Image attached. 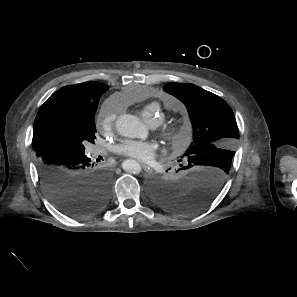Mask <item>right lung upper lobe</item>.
Segmentation results:
<instances>
[{
	"instance_id": "cb5924a9",
	"label": "right lung upper lobe",
	"mask_w": 297,
	"mask_h": 297,
	"mask_svg": "<svg viewBox=\"0 0 297 297\" xmlns=\"http://www.w3.org/2000/svg\"><path fill=\"white\" fill-rule=\"evenodd\" d=\"M109 87L99 82H84L65 86L54 94L41 106L33 129L32 147L39 157L44 151L42 136L47 125L59 114H66L75 120H83L88 113H95L101 95Z\"/></svg>"
}]
</instances>
